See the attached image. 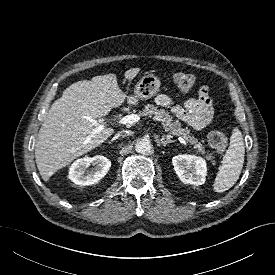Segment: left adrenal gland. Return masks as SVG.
I'll return each instance as SVG.
<instances>
[{
  "instance_id": "1",
  "label": "left adrenal gland",
  "mask_w": 275,
  "mask_h": 275,
  "mask_svg": "<svg viewBox=\"0 0 275 275\" xmlns=\"http://www.w3.org/2000/svg\"><path fill=\"white\" fill-rule=\"evenodd\" d=\"M161 144L165 147V146H167L169 143H172V142H174L173 140H170V139H166L164 136H162V138H161Z\"/></svg>"
}]
</instances>
